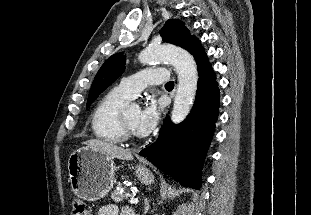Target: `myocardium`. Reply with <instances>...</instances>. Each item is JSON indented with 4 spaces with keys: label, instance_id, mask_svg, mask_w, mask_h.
Returning <instances> with one entry per match:
<instances>
[{
    "label": "myocardium",
    "instance_id": "1",
    "mask_svg": "<svg viewBox=\"0 0 311 215\" xmlns=\"http://www.w3.org/2000/svg\"><path fill=\"white\" fill-rule=\"evenodd\" d=\"M129 105H126L120 113V123L123 131V136L125 140L134 141L136 139V136L129 126L127 120H126V111L128 109Z\"/></svg>",
    "mask_w": 311,
    "mask_h": 215
}]
</instances>
